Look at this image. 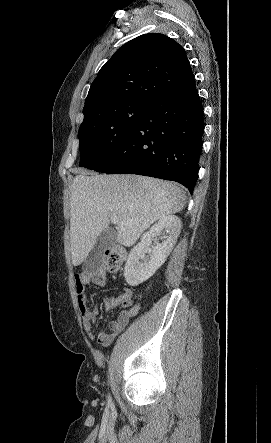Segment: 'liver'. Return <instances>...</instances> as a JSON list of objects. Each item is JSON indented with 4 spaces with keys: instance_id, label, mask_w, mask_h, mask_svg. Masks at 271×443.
Returning a JSON list of instances; mask_svg holds the SVG:
<instances>
[{
    "instance_id": "6515ba94",
    "label": "liver",
    "mask_w": 271,
    "mask_h": 443,
    "mask_svg": "<svg viewBox=\"0 0 271 443\" xmlns=\"http://www.w3.org/2000/svg\"><path fill=\"white\" fill-rule=\"evenodd\" d=\"M185 194L177 184L146 176H98L81 172L71 186L70 249L73 265H80L98 235L117 216L116 239L134 245L141 233L163 216L180 212Z\"/></svg>"
}]
</instances>
